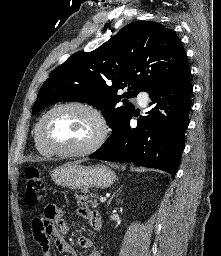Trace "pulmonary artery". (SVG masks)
I'll return each mask as SVG.
<instances>
[{"mask_svg": "<svg viewBox=\"0 0 221 256\" xmlns=\"http://www.w3.org/2000/svg\"><path fill=\"white\" fill-rule=\"evenodd\" d=\"M149 98H148V94L145 92H140L137 95V101L141 106H145L148 102Z\"/></svg>", "mask_w": 221, "mask_h": 256, "instance_id": "e3ab8cb5", "label": "pulmonary artery"}]
</instances>
